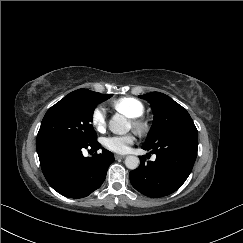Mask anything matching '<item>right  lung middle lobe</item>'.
Instances as JSON below:
<instances>
[{"mask_svg": "<svg viewBox=\"0 0 243 243\" xmlns=\"http://www.w3.org/2000/svg\"><path fill=\"white\" fill-rule=\"evenodd\" d=\"M112 94H68L45 114L36 140V145L49 141H68L89 144L97 140L91 124L97 104L109 99Z\"/></svg>", "mask_w": 243, "mask_h": 243, "instance_id": "right-lung-middle-lobe-1", "label": "right lung middle lobe"}]
</instances>
